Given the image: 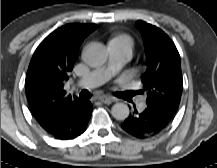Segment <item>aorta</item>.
Masks as SVG:
<instances>
[{
  "label": "aorta",
  "mask_w": 217,
  "mask_h": 168,
  "mask_svg": "<svg viewBox=\"0 0 217 168\" xmlns=\"http://www.w3.org/2000/svg\"><path fill=\"white\" fill-rule=\"evenodd\" d=\"M82 58L89 66L99 67L106 62L107 53L102 45L95 43L84 49ZM111 114L117 120H125L129 116V107L124 103H116L112 106Z\"/></svg>",
  "instance_id": "1"
}]
</instances>
